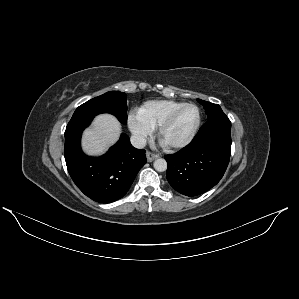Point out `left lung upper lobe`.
Instances as JSON below:
<instances>
[{"mask_svg":"<svg viewBox=\"0 0 299 299\" xmlns=\"http://www.w3.org/2000/svg\"><path fill=\"white\" fill-rule=\"evenodd\" d=\"M197 101L203 105L208 120L212 118H218V117H227L218 104L203 101L201 99H197Z\"/></svg>","mask_w":299,"mask_h":299,"instance_id":"left-lung-upper-lobe-1","label":"left lung upper lobe"}]
</instances>
